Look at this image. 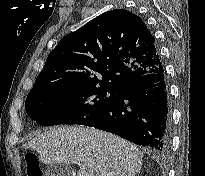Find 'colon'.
Here are the masks:
<instances>
[{
    "mask_svg": "<svg viewBox=\"0 0 205 176\" xmlns=\"http://www.w3.org/2000/svg\"><path fill=\"white\" fill-rule=\"evenodd\" d=\"M27 176H43L41 166L34 153L28 152L24 156Z\"/></svg>",
    "mask_w": 205,
    "mask_h": 176,
    "instance_id": "1",
    "label": "colon"
}]
</instances>
